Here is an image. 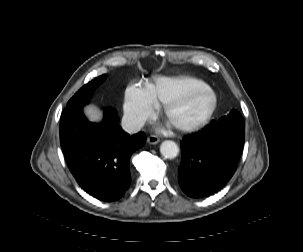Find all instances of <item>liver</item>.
I'll return each mask as SVG.
<instances>
[{
	"mask_svg": "<svg viewBox=\"0 0 303 252\" xmlns=\"http://www.w3.org/2000/svg\"><path fill=\"white\" fill-rule=\"evenodd\" d=\"M85 113L91 121H100L101 120V112H99L94 107L88 106L85 108Z\"/></svg>",
	"mask_w": 303,
	"mask_h": 252,
	"instance_id": "liver-1",
	"label": "liver"
}]
</instances>
